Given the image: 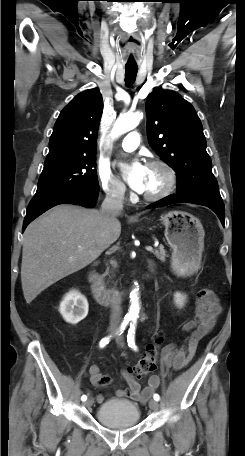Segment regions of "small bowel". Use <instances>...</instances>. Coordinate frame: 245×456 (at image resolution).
<instances>
[{"mask_svg": "<svg viewBox=\"0 0 245 456\" xmlns=\"http://www.w3.org/2000/svg\"><path fill=\"white\" fill-rule=\"evenodd\" d=\"M221 311L222 307L215 293L207 288L201 289L195 300V318L183 326V331L187 333L184 344L180 347L175 344L165 346L162 350V366L173 367L176 370L186 366L194 357L200 340L213 329ZM89 372L91 383L95 386H108L112 382L111 377L102 374L96 365H92ZM122 378L128 384V388L116 389L115 395L128 397L139 403H145L160 383L159 377L153 375L149 378L147 385L141 388L130 370H124ZM106 397L107 394L101 392L97 394L96 400L101 403Z\"/></svg>", "mask_w": 245, "mask_h": 456, "instance_id": "small-bowel-1", "label": "small bowel"}]
</instances>
